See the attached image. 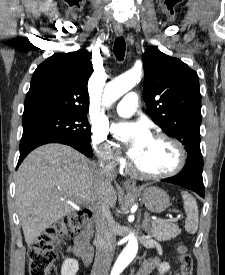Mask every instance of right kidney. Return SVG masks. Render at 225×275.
Segmentation results:
<instances>
[{"instance_id": "ca27d5eb", "label": "right kidney", "mask_w": 225, "mask_h": 275, "mask_svg": "<svg viewBox=\"0 0 225 275\" xmlns=\"http://www.w3.org/2000/svg\"><path fill=\"white\" fill-rule=\"evenodd\" d=\"M79 264L75 259H66L61 268V275H76Z\"/></svg>"}]
</instances>
